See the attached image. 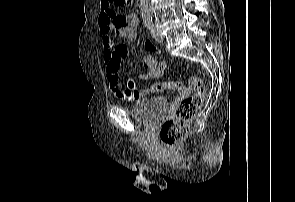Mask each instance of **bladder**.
Returning a JSON list of instances; mask_svg holds the SVG:
<instances>
[{"label": "bladder", "instance_id": "obj_1", "mask_svg": "<svg viewBox=\"0 0 295 202\" xmlns=\"http://www.w3.org/2000/svg\"><path fill=\"white\" fill-rule=\"evenodd\" d=\"M168 104L165 98L153 96L138 101L131 109L132 117L144 125L157 123L167 112Z\"/></svg>", "mask_w": 295, "mask_h": 202}]
</instances>
